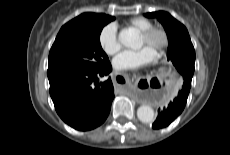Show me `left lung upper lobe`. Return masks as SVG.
Here are the masks:
<instances>
[{"instance_id":"5c2ea615","label":"left lung upper lobe","mask_w":230,"mask_h":155,"mask_svg":"<svg viewBox=\"0 0 230 155\" xmlns=\"http://www.w3.org/2000/svg\"><path fill=\"white\" fill-rule=\"evenodd\" d=\"M145 16L149 18L155 17L162 23L169 40L168 60L172 61L183 78H192L195 50L186 27L164 11L146 13Z\"/></svg>"}]
</instances>
